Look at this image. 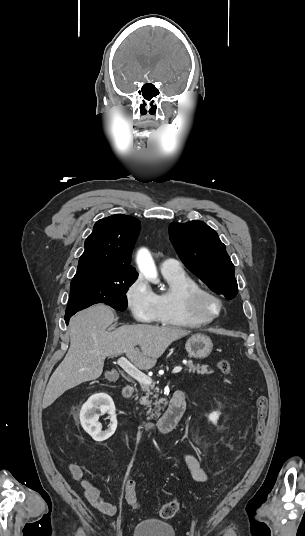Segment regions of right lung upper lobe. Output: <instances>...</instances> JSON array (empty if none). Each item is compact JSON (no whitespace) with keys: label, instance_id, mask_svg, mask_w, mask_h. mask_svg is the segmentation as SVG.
<instances>
[{"label":"right lung upper lobe","instance_id":"obj_1","mask_svg":"<svg viewBox=\"0 0 305 536\" xmlns=\"http://www.w3.org/2000/svg\"><path fill=\"white\" fill-rule=\"evenodd\" d=\"M139 231L140 221L128 215L117 214L97 221L85 241L74 277L138 275L130 263Z\"/></svg>","mask_w":305,"mask_h":536}]
</instances>
